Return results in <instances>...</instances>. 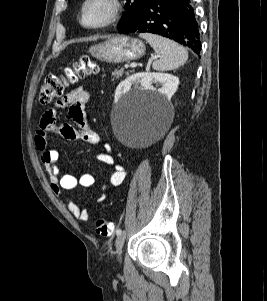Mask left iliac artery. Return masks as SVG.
Masks as SVG:
<instances>
[{
	"instance_id": "1",
	"label": "left iliac artery",
	"mask_w": 267,
	"mask_h": 301,
	"mask_svg": "<svg viewBox=\"0 0 267 301\" xmlns=\"http://www.w3.org/2000/svg\"><path fill=\"white\" fill-rule=\"evenodd\" d=\"M121 232H122L121 229H117V230H116V234H117V235L121 234Z\"/></svg>"
}]
</instances>
